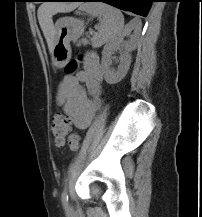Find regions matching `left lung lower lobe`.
Listing matches in <instances>:
<instances>
[{
    "instance_id": "obj_1",
    "label": "left lung lower lobe",
    "mask_w": 202,
    "mask_h": 217,
    "mask_svg": "<svg viewBox=\"0 0 202 217\" xmlns=\"http://www.w3.org/2000/svg\"><path fill=\"white\" fill-rule=\"evenodd\" d=\"M42 1H72V2H104L125 11L146 17L151 4L155 0H42Z\"/></svg>"
}]
</instances>
